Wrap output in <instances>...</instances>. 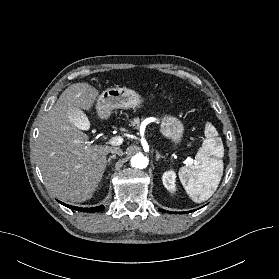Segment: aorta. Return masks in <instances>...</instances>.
<instances>
[{"mask_svg": "<svg viewBox=\"0 0 279 279\" xmlns=\"http://www.w3.org/2000/svg\"><path fill=\"white\" fill-rule=\"evenodd\" d=\"M148 165V158L139 153L131 158V166L137 169H144Z\"/></svg>", "mask_w": 279, "mask_h": 279, "instance_id": "aorta-1", "label": "aorta"}]
</instances>
